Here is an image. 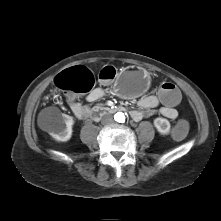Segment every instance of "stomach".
<instances>
[{"instance_id": "obj_1", "label": "stomach", "mask_w": 221, "mask_h": 221, "mask_svg": "<svg viewBox=\"0 0 221 221\" xmlns=\"http://www.w3.org/2000/svg\"><path fill=\"white\" fill-rule=\"evenodd\" d=\"M150 76L147 71L136 68H127L119 73L114 90L125 98H133L143 94L149 87Z\"/></svg>"}]
</instances>
